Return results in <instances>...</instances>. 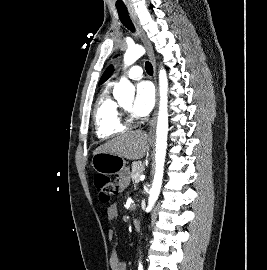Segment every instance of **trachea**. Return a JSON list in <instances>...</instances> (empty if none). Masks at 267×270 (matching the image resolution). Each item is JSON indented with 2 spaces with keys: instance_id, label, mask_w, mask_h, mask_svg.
<instances>
[{
  "instance_id": "1",
  "label": "trachea",
  "mask_w": 267,
  "mask_h": 270,
  "mask_svg": "<svg viewBox=\"0 0 267 270\" xmlns=\"http://www.w3.org/2000/svg\"><path fill=\"white\" fill-rule=\"evenodd\" d=\"M117 11L119 15V19L122 22V24L129 29L131 32H135L134 25L128 15V11L126 7H118L117 6ZM145 69L148 74H153V66L150 62L145 63Z\"/></svg>"
}]
</instances>
